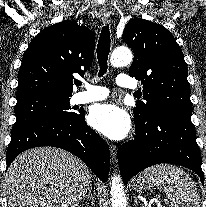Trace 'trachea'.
<instances>
[{
    "instance_id": "1",
    "label": "trachea",
    "mask_w": 206,
    "mask_h": 207,
    "mask_svg": "<svg viewBox=\"0 0 206 207\" xmlns=\"http://www.w3.org/2000/svg\"><path fill=\"white\" fill-rule=\"evenodd\" d=\"M110 32H109V25L103 26L101 30V34L99 37L98 45H97V58L99 63V77H102L107 72V60L110 51ZM77 86L81 85L80 81L75 82Z\"/></svg>"
}]
</instances>
